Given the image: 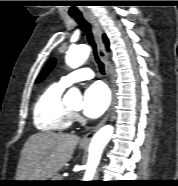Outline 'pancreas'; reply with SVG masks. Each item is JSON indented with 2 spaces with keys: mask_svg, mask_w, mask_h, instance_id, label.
Masks as SVG:
<instances>
[{
  "mask_svg": "<svg viewBox=\"0 0 178 186\" xmlns=\"http://www.w3.org/2000/svg\"><path fill=\"white\" fill-rule=\"evenodd\" d=\"M53 178L54 180H59V181L62 180V176L60 174H55Z\"/></svg>",
  "mask_w": 178,
  "mask_h": 186,
  "instance_id": "cf45deb5",
  "label": "pancreas"
}]
</instances>
